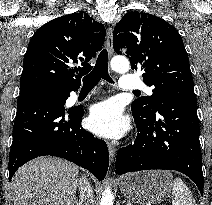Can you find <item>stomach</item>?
<instances>
[{
    "label": "stomach",
    "instance_id": "obj_1",
    "mask_svg": "<svg viewBox=\"0 0 212 205\" xmlns=\"http://www.w3.org/2000/svg\"><path fill=\"white\" fill-rule=\"evenodd\" d=\"M119 186L129 201L139 205L157 204L169 197L173 177L165 170L142 171L122 176Z\"/></svg>",
    "mask_w": 212,
    "mask_h": 205
}]
</instances>
